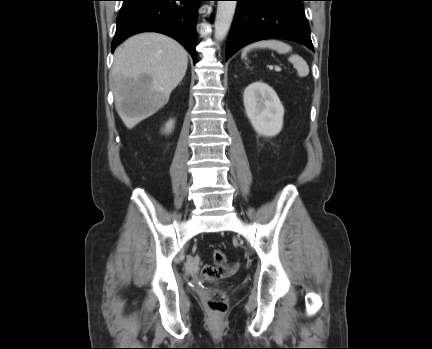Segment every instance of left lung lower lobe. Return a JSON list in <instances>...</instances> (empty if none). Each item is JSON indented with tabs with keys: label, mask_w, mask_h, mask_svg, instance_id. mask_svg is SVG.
<instances>
[{
	"label": "left lung lower lobe",
	"mask_w": 432,
	"mask_h": 349,
	"mask_svg": "<svg viewBox=\"0 0 432 349\" xmlns=\"http://www.w3.org/2000/svg\"><path fill=\"white\" fill-rule=\"evenodd\" d=\"M225 59L245 45L262 39H287L313 50L304 0H236Z\"/></svg>",
	"instance_id": "left-lung-lower-lobe-1"
}]
</instances>
